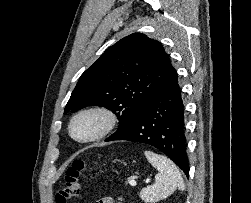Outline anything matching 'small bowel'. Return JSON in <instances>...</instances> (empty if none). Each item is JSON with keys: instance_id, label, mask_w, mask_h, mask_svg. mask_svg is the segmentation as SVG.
Listing matches in <instances>:
<instances>
[{"instance_id": "small-bowel-1", "label": "small bowel", "mask_w": 251, "mask_h": 203, "mask_svg": "<svg viewBox=\"0 0 251 203\" xmlns=\"http://www.w3.org/2000/svg\"><path fill=\"white\" fill-rule=\"evenodd\" d=\"M97 203H118V202L114 201L110 197H106V198L100 199Z\"/></svg>"}]
</instances>
